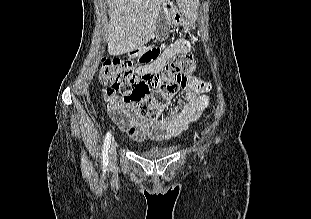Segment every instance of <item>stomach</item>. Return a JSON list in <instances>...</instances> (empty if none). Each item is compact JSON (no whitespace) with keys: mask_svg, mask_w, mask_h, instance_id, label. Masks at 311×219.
<instances>
[{"mask_svg":"<svg viewBox=\"0 0 311 219\" xmlns=\"http://www.w3.org/2000/svg\"><path fill=\"white\" fill-rule=\"evenodd\" d=\"M167 22L174 25H184L186 23L185 15L181 12V10L175 11L172 14L169 15H163Z\"/></svg>","mask_w":311,"mask_h":219,"instance_id":"0dacf381","label":"stomach"}]
</instances>
